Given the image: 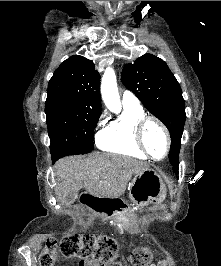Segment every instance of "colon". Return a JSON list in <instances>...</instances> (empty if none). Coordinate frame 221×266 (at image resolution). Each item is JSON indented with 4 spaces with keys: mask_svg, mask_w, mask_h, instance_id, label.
Returning a JSON list of instances; mask_svg holds the SVG:
<instances>
[{
    "mask_svg": "<svg viewBox=\"0 0 221 266\" xmlns=\"http://www.w3.org/2000/svg\"><path fill=\"white\" fill-rule=\"evenodd\" d=\"M116 256L117 244L112 237L69 233L59 242L55 239L47 240L40 256V264L54 266L61 258H79L83 262H100V266H121L116 261ZM151 258L148 248L139 247L131 253L130 262L132 266H149Z\"/></svg>",
    "mask_w": 221,
    "mask_h": 266,
    "instance_id": "5ec220e1",
    "label": "colon"
}]
</instances>
